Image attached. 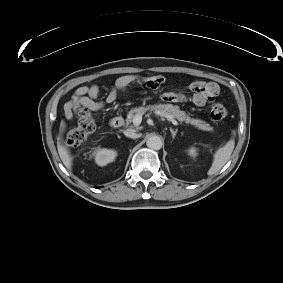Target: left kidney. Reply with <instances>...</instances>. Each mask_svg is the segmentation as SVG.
<instances>
[{"label": "left kidney", "instance_id": "5707ae66", "mask_svg": "<svg viewBox=\"0 0 283 283\" xmlns=\"http://www.w3.org/2000/svg\"><path fill=\"white\" fill-rule=\"evenodd\" d=\"M189 154L191 155V156H196V150H195V148H191L190 150H189Z\"/></svg>", "mask_w": 283, "mask_h": 283}]
</instances>
